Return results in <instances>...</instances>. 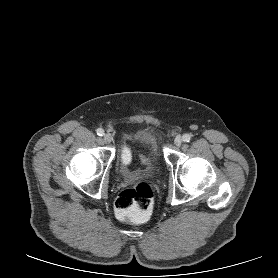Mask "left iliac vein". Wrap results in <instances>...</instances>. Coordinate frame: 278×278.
<instances>
[{
    "label": "left iliac vein",
    "instance_id": "1",
    "mask_svg": "<svg viewBox=\"0 0 278 278\" xmlns=\"http://www.w3.org/2000/svg\"><path fill=\"white\" fill-rule=\"evenodd\" d=\"M174 144L176 146H180L182 144V137L181 136H177L175 139H174Z\"/></svg>",
    "mask_w": 278,
    "mask_h": 278
}]
</instances>
